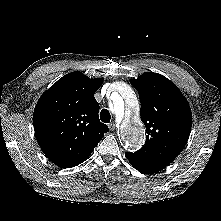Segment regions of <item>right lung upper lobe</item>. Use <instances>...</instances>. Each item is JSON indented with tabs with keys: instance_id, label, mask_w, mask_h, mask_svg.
<instances>
[{
	"instance_id": "cb5924a9",
	"label": "right lung upper lobe",
	"mask_w": 221,
	"mask_h": 221,
	"mask_svg": "<svg viewBox=\"0 0 221 221\" xmlns=\"http://www.w3.org/2000/svg\"><path fill=\"white\" fill-rule=\"evenodd\" d=\"M102 81L72 72L40 97L33 115L35 135L55 165L70 168L80 164L108 132L99 120V104L94 98Z\"/></svg>"
}]
</instances>
